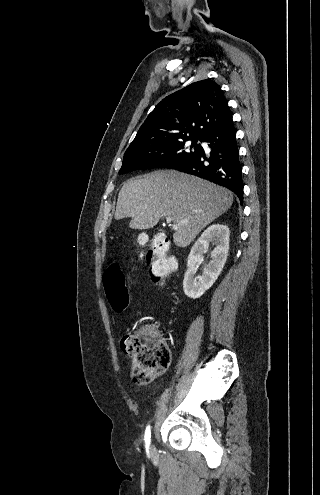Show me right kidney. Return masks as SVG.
I'll use <instances>...</instances> for the list:
<instances>
[{
  "mask_svg": "<svg viewBox=\"0 0 320 495\" xmlns=\"http://www.w3.org/2000/svg\"><path fill=\"white\" fill-rule=\"evenodd\" d=\"M230 231L226 225L213 224L208 227L193 245L184 275L183 289L187 297L197 299L202 296L217 280L226 263L229 251ZM215 244L211 260L205 266L201 276H196V266L204 260L209 244Z\"/></svg>",
  "mask_w": 320,
  "mask_h": 495,
  "instance_id": "ca27d5eb",
  "label": "right kidney"
}]
</instances>
